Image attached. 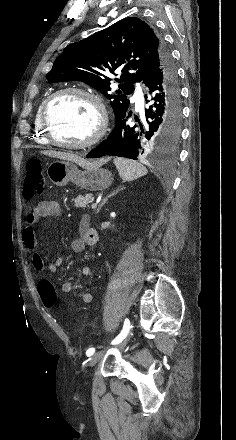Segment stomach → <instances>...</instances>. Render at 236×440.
<instances>
[{
  "mask_svg": "<svg viewBox=\"0 0 236 440\" xmlns=\"http://www.w3.org/2000/svg\"><path fill=\"white\" fill-rule=\"evenodd\" d=\"M47 175L57 186L72 182L82 189L100 191L109 187L113 181L109 170L101 167L78 168V164L68 160H57L49 164Z\"/></svg>",
  "mask_w": 236,
  "mask_h": 440,
  "instance_id": "1",
  "label": "stomach"
}]
</instances>
